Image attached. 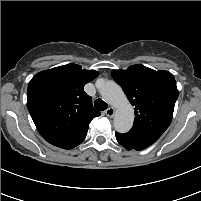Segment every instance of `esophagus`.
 I'll use <instances>...</instances> for the list:
<instances>
[{"instance_id":"34e87169","label":"esophagus","mask_w":201,"mask_h":201,"mask_svg":"<svg viewBox=\"0 0 201 201\" xmlns=\"http://www.w3.org/2000/svg\"><path fill=\"white\" fill-rule=\"evenodd\" d=\"M115 110L113 107H109L106 111L105 114L107 117L112 118L114 116Z\"/></svg>"}]
</instances>
